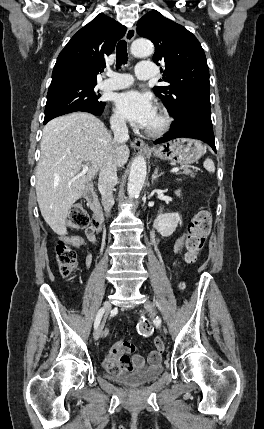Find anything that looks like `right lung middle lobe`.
<instances>
[{
    "instance_id": "dd1d6c3e",
    "label": "right lung middle lobe",
    "mask_w": 264,
    "mask_h": 429,
    "mask_svg": "<svg viewBox=\"0 0 264 429\" xmlns=\"http://www.w3.org/2000/svg\"><path fill=\"white\" fill-rule=\"evenodd\" d=\"M96 84H68L50 88L47 94L44 121L75 111L102 113L105 103L94 91Z\"/></svg>"
}]
</instances>
